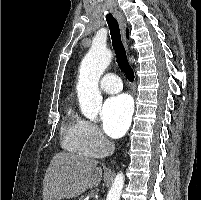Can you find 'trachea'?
I'll return each mask as SVG.
<instances>
[{"instance_id": "trachea-1", "label": "trachea", "mask_w": 201, "mask_h": 200, "mask_svg": "<svg viewBox=\"0 0 201 200\" xmlns=\"http://www.w3.org/2000/svg\"><path fill=\"white\" fill-rule=\"evenodd\" d=\"M106 21L110 29V35L112 39V46L116 54L118 66L125 73L127 79L130 82L134 81V72L127 60L126 51L121 41V34L119 24L116 18L112 14H106Z\"/></svg>"}]
</instances>
